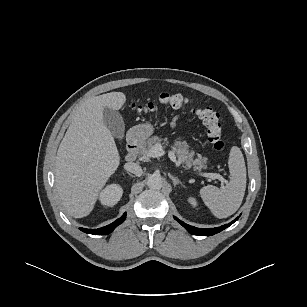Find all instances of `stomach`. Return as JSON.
Returning a JSON list of instances; mask_svg holds the SVG:
<instances>
[{
    "label": "stomach",
    "instance_id": "stomach-1",
    "mask_svg": "<svg viewBox=\"0 0 307 307\" xmlns=\"http://www.w3.org/2000/svg\"><path fill=\"white\" fill-rule=\"evenodd\" d=\"M134 137L138 140H145L153 133V127L149 123L135 126L131 129Z\"/></svg>",
    "mask_w": 307,
    "mask_h": 307
}]
</instances>
